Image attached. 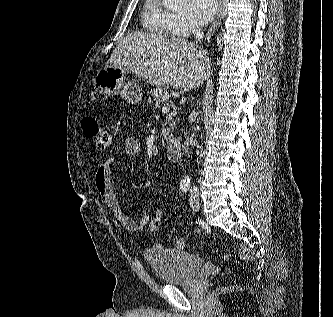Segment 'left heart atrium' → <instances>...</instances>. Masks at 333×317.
Wrapping results in <instances>:
<instances>
[{
	"label": "left heart atrium",
	"mask_w": 333,
	"mask_h": 317,
	"mask_svg": "<svg viewBox=\"0 0 333 317\" xmlns=\"http://www.w3.org/2000/svg\"><path fill=\"white\" fill-rule=\"evenodd\" d=\"M217 12V0H189L188 15L198 26L207 23Z\"/></svg>",
	"instance_id": "left-heart-atrium-1"
}]
</instances>
